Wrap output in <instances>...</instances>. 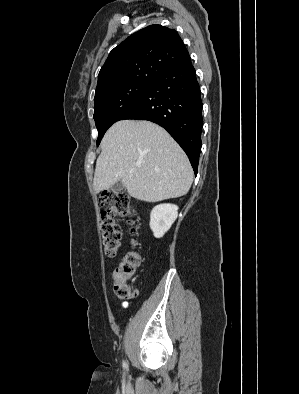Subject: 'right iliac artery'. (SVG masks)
<instances>
[{
    "mask_svg": "<svg viewBox=\"0 0 299 394\" xmlns=\"http://www.w3.org/2000/svg\"><path fill=\"white\" fill-rule=\"evenodd\" d=\"M127 366H128L127 363L125 361H123V367L127 368Z\"/></svg>",
    "mask_w": 299,
    "mask_h": 394,
    "instance_id": "82829eb1",
    "label": "right iliac artery"
}]
</instances>
